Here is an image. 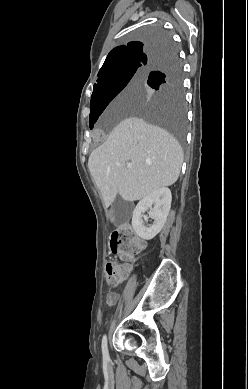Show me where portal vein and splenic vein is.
Here are the masks:
<instances>
[{
	"mask_svg": "<svg viewBox=\"0 0 248 389\" xmlns=\"http://www.w3.org/2000/svg\"><path fill=\"white\" fill-rule=\"evenodd\" d=\"M127 168H129V169L132 168V164H131V163H128V164H127Z\"/></svg>",
	"mask_w": 248,
	"mask_h": 389,
	"instance_id": "obj_1",
	"label": "portal vein and splenic vein"
}]
</instances>
